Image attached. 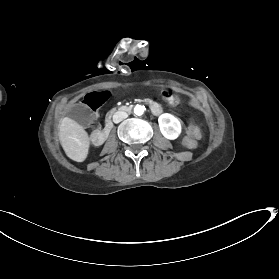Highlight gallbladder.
Returning <instances> with one entry per match:
<instances>
[{"instance_id": "obj_1", "label": "gallbladder", "mask_w": 279, "mask_h": 279, "mask_svg": "<svg viewBox=\"0 0 279 279\" xmlns=\"http://www.w3.org/2000/svg\"><path fill=\"white\" fill-rule=\"evenodd\" d=\"M62 113L64 115H69L71 120L78 122L82 127L90 125L92 121L90 114H88V110L81 104L74 106L72 110L64 108Z\"/></svg>"}]
</instances>
